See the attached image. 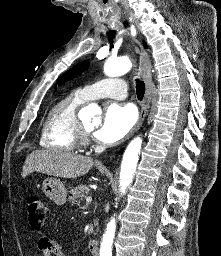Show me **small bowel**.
I'll list each match as a JSON object with an SVG mask.
<instances>
[{"mask_svg": "<svg viewBox=\"0 0 221 256\" xmlns=\"http://www.w3.org/2000/svg\"><path fill=\"white\" fill-rule=\"evenodd\" d=\"M38 248L42 256H66L62 246L47 236H41L39 238Z\"/></svg>", "mask_w": 221, "mask_h": 256, "instance_id": "small-bowel-1", "label": "small bowel"}]
</instances>
